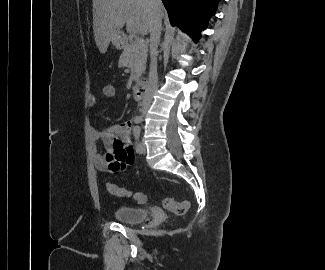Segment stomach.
I'll use <instances>...</instances> for the list:
<instances>
[{"instance_id":"stomach-1","label":"stomach","mask_w":325,"mask_h":270,"mask_svg":"<svg viewBox=\"0 0 325 270\" xmlns=\"http://www.w3.org/2000/svg\"><path fill=\"white\" fill-rule=\"evenodd\" d=\"M112 43L117 49H122L126 46V37L120 33L113 38Z\"/></svg>"}]
</instances>
